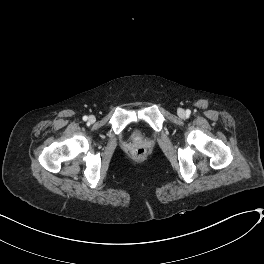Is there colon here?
Listing matches in <instances>:
<instances>
[{
	"mask_svg": "<svg viewBox=\"0 0 264 264\" xmlns=\"http://www.w3.org/2000/svg\"><path fill=\"white\" fill-rule=\"evenodd\" d=\"M145 154V150L143 148H138L136 151H135V158L137 159H141Z\"/></svg>",
	"mask_w": 264,
	"mask_h": 264,
	"instance_id": "colon-1",
	"label": "colon"
}]
</instances>
